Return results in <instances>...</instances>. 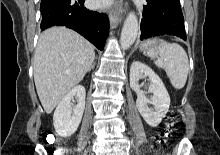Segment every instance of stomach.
<instances>
[{
    "mask_svg": "<svg viewBox=\"0 0 220 155\" xmlns=\"http://www.w3.org/2000/svg\"><path fill=\"white\" fill-rule=\"evenodd\" d=\"M156 40H152V41H149V42H147L146 44H144L142 47H141V49H144V48H146L147 46H152V49L155 47L156 48Z\"/></svg>",
    "mask_w": 220,
    "mask_h": 155,
    "instance_id": "obj_1",
    "label": "stomach"
}]
</instances>
